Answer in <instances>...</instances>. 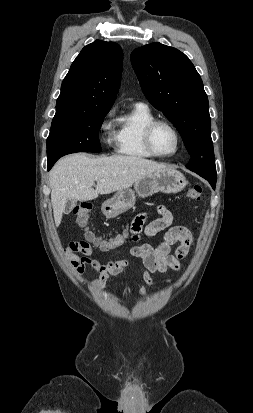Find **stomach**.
I'll return each instance as SVG.
<instances>
[{
    "instance_id": "1",
    "label": "stomach",
    "mask_w": 253,
    "mask_h": 413,
    "mask_svg": "<svg viewBox=\"0 0 253 413\" xmlns=\"http://www.w3.org/2000/svg\"><path fill=\"white\" fill-rule=\"evenodd\" d=\"M188 184L185 176L173 168H165L137 180L132 188L122 189L102 204V212L114 218L135 205L136 197H148L155 193H178Z\"/></svg>"
}]
</instances>
